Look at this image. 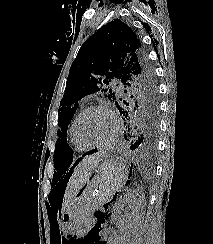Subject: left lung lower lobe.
I'll use <instances>...</instances> for the list:
<instances>
[{
    "instance_id": "left-lung-lower-lobe-1",
    "label": "left lung lower lobe",
    "mask_w": 213,
    "mask_h": 244,
    "mask_svg": "<svg viewBox=\"0 0 213 244\" xmlns=\"http://www.w3.org/2000/svg\"><path fill=\"white\" fill-rule=\"evenodd\" d=\"M128 124L124 134V140L130 150L143 157H152L157 148L158 122L152 119L139 120L132 118L127 112L122 113ZM90 151L85 155L91 154ZM77 160L73 167L79 162ZM73 167L71 169H73Z\"/></svg>"
}]
</instances>
